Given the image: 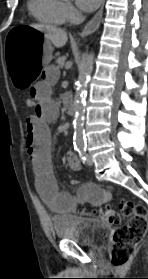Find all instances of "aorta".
<instances>
[{"instance_id":"obj_1","label":"aorta","mask_w":148,"mask_h":279,"mask_svg":"<svg viewBox=\"0 0 148 279\" xmlns=\"http://www.w3.org/2000/svg\"><path fill=\"white\" fill-rule=\"evenodd\" d=\"M93 63L94 54H87L79 69L78 84L74 96V143L81 147L85 144L83 126L85 121V100L87 96L86 87L93 69Z\"/></svg>"}]
</instances>
